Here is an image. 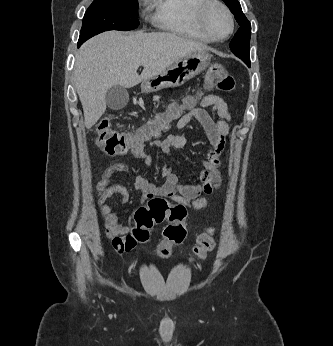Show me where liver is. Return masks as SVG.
Masks as SVG:
<instances>
[{"mask_svg":"<svg viewBox=\"0 0 333 346\" xmlns=\"http://www.w3.org/2000/svg\"><path fill=\"white\" fill-rule=\"evenodd\" d=\"M206 46L169 32L108 31L86 41L76 55L75 88L90 129L106 110L109 88H131ZM144 69L138 75L139 66Z\"/></svg>","mask_w":333,"mask_h":346,"instance_id":"1","label":"liver"}]
</instances>
